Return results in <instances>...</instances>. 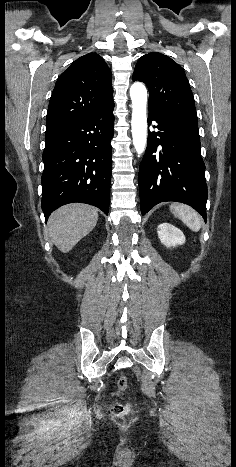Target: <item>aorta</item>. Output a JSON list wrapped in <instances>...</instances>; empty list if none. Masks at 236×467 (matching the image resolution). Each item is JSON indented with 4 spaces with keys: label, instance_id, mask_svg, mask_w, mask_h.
<instances>
[{
    "label": "aorta",
    "instance_id": "obj_1",
    "mask_svg": "<svg viewBox=\"0 0 236 467\" xmlns=\"http://www.w3.org/2000/svg\"><path fill=\"white\" fill-rule=\"evenodd\" d=\"M130 97L132 101V138L133 145L138 155H141L147 143V90L140 83L135 82L130 87Z\"/></svg>",
    "mask_w": 236,
    "mask_h": 467
}]
</instances>
